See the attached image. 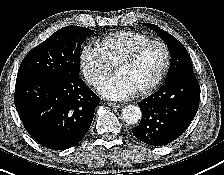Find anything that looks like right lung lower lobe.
<instances>
[{
	"label": "right lung lower lobe",
	"mask_w": 224,
	"mask_h": 175,
	"mask_svg": "<svg viewBox=\"0 0 224 175\" xmlns=\"http://www.w3.org/2000/svg\"><path fill=\"white\" fill-rule=\"evenodd\" d=\"M14 102L27 132L42 146L65 150L86 135L100 98L79 77L17 75Z\"/></svg>",
	"instance_id": "1"
}]
</instances>
